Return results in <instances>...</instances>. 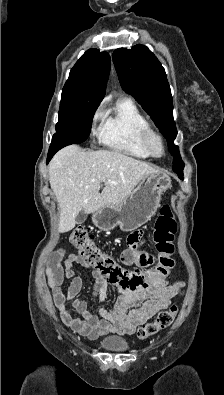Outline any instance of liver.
Listing matches in <instances>:
<instances>
[{
	"label": "liver",
	"mask_w": 224,
	"mask_h": 395,
	"mask_svg": "<svg viewBox=\"0 0 224 395\" xmlns=\"http://www.w3.org/2000/svg\"><path fill=\"white\" fill-rule=\"evenodd\" d=\"M155 171L117 150L85 151L77 145L61 149L49 164L50 186L60 208L59 232L72 230L81 210L90 214L120 203L144 176Z\"/></svg>",
	"instance_id": "obj_1"
}]
</instances>
